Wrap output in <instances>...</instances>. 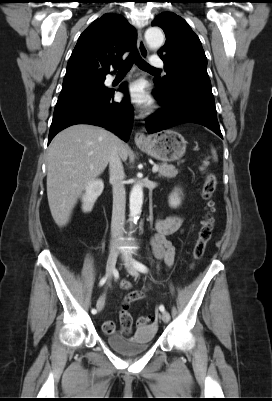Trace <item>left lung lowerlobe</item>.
Listing matches in <instances>:
<instances>
[{"mask_svg":"<svg viewBox=\"0 0 272 401\" xmlns=\"http://www.w3.org/2000/svg\"><path fill=\"white\" fill-rule=\"evenodd\" d=\"M153 94L163 105L146 122L149 133H156L182 123L203 125L222 137L210 88L174 83L169 88L156 85Z\"/></svg>","mask_w":272,"mask_h":401,"instance_id":"obj_1","label":"left lung lower lobe"}]
</instances>
